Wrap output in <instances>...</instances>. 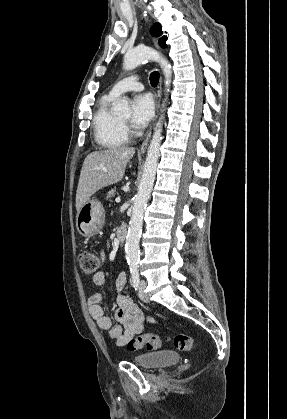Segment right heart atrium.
<instances>
[{"mask_svg":"<svg viewBox=\"0 0 287 419\" xmlns=\"http://www.w3.org/2000/svg\"><path fill=\"white\" fill-rule=\"evenodd\" d=\"M124 130H125V132H127V131H128V129L126 128V126H124Z\"/></svg>","mask_w":287,"mask_h":419,"instance_id":"d8ad5b80","label":"right heart atrium"}]
</instances>
